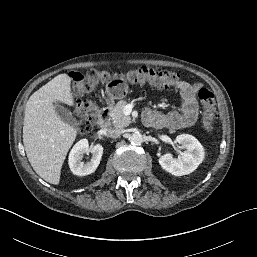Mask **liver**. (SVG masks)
<instances>
[{"instance_id": "obj_1", "label": "liver", "mask_w": 257, "mask_h": 257, "mask_svg": "<svg viewBox=\"0 0 257 257\" xmlns=\"http://www.w3.org/2000/svg\"><path fill=\"white\" fill-rule=\"evenodd\" d=\"M71 78L59 74L34 92L25 107L23 143L34 171L45 181L58 185L61 168L73 145L77 130L59 118L54 104L74 106Z\"/></svg>"}]
</instances>
